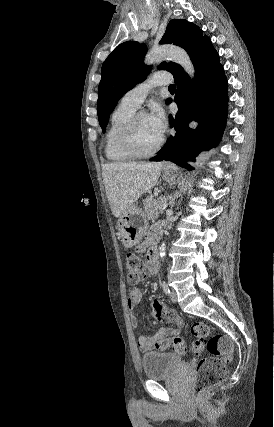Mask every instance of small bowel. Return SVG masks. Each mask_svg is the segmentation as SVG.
<instances>
[{"label":"small bowel","mask_w":274,"mask_h":427,"mask_svg":"<svg viewBox=\"0 0 274 427\" xmlns=\"http://www.w3.org/2000/svg\"><path fill=\"white\" fill-rule=\"evenodd\" d=\"M162 233V227L160 225H155L150 229L149 236L140 246V249L145 250L150 244L154 243L157 238ZM158 264L152 265L150 262H147L146 265V276L150 277L157 273ZM143 300L142 292L139 287L132 288L127 296V306L132 311L138 306L141 305ZM153 311L148 312L149 320H160L161 313H164V316L167 318L170 311L166 310V301L163 299H154L153 300ZM173 313V312H172ZM174 316L169 321L175 322L177 324L176 328H161L153 336H145L139 334L137 337V345L141 352H150L156 348V343L164 338L174 337L180 334L181 330L184 327V320L177 314L173 313ZM155 323L154 321L152 322ZM165 323L164 321L162 322ZM131 325L134 329L139 328V321L135 316H131Z\"/></svg>","instance_id":"obj_1"}]
</instances>
